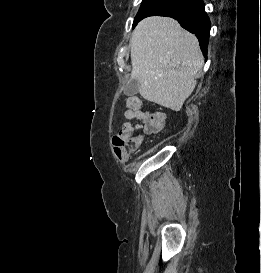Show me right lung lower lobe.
Instances as JSON below:
<instances>
[{"instance_id": "1", "label": "right lung lower lobe", "mask_w": 261, "mask_h": 273, "mask_svg": "<svg viewBox=\"0 0 261 273\" xmlns=\"http://www.w3.org/2000/svg\"><path fill=\"white\" fill-rule=\"evenodd\" d=\"M168 10L158 16L176 19L183 28L194 33L199 40L203 55L207 56L210 21L204 10L202 0H167Z\"/></svg>"}]
</instances>
